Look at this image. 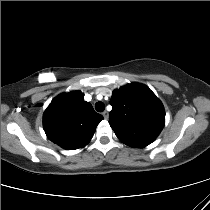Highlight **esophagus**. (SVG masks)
I'll list each match as a JSON object with an SVG mask.
<instances>
[{"mask_svg":"<svg viewBox=\"0 0 210 210\" xmlns=\"http://www.w3.org/2000/svg\"><path fill=\"white\" fill-rule=\"evenodd\" d=\"M102 115H103L104 119H106V120L109 118V114H108L107 111H104V112L102 113Z\"/></svg>","mask_w":210,"mask_h":210,"instance_id":"esophagus-1","label":"esophagus"}]
</instances>
